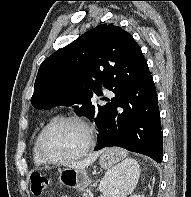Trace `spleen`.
<instances>
[{
	"label": "spleen",
	"mask_w": 191,
	"mask_h": 197,
	"mask_svg": "<svg viewBox=\"0 0 191 197\" xmlns=\"http://www.w3.org/2000/svg\"><path fill=\"white\" fill-rule=\"evenodd\" d=\"M120 157L119 162L106 173L103 197H126L135 188L140 177V167L133 158H126L121 148L110 149Z\"/></svg>",
	"instance_id": "1"
}]
</instances>
